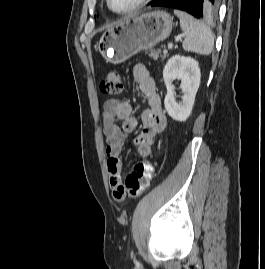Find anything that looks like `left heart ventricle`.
I'll list each match as a JSON object with an SVG mask.
<instances>
[{
    "mask_svg": "<svg viewBox=\"0 0 265 269\" xmlns=\"http://www.w3.org/2000/svg\"><path fill=\"white\" fill-rule=\"evenodd\" d=\"M139 0H111V5L115 10H125L133 6Z\"/></svg>",
    "mask_w": 265,
    "mask_h": 269,
    "instance_id": "left-heart-ventricle-1",
    "label": "left heart ventricle"
}]
</instances>
